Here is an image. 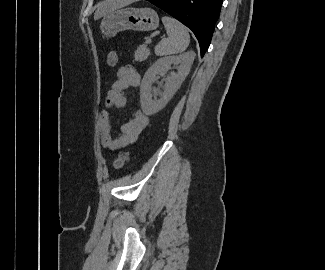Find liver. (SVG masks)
Segmentation results:
<instances>
[{
	"label": "liver",
	"instance_id": "6515ba94",
	"mask_svg": "<svg viewBox=\"0 0 325 270\" xmlns=\"http://www.w3.org/2000/svg\"><path fill=\"white\" fill-rule=\"evenodd\" d=\"M129 2H130L129 0H105L100 2L97 5V10L95 11L94 14V20H98L101 17H104L121 7H124Z\"/></svg>",
	"mask_w": 325,
	"mask_h": 270
}]
</instances>
